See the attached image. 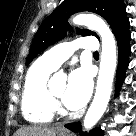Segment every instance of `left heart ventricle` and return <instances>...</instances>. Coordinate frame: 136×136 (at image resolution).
I'll return each mask as SVG.
<instances>
[{
	"label": "left heart ventricle",
	"instance_id": "left-heart-ventricle-1",
	"mask_svg": "<svg viewBox=\"0 0 136 136\" xmlns=\"http://www.w3.org/2000/svg\"><path fill=\"white\" fill-rule=\"evenodd\" d=\"M65 85H60L52 89L53 93L58 96L59 98L63 97V94L65 92Z\"/></svg>",
	"mask_w": 136,
	"mask_h": 136
}]
</instances>
